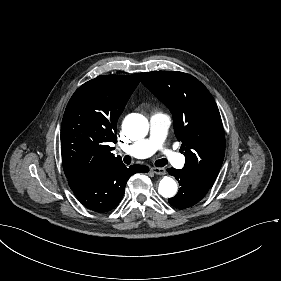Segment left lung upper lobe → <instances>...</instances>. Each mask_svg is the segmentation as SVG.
Segmentation results:
<instances>
[{"label":"left lung upper lobe","mask_w":281,"mask_h":281,"mask_svg":"<svg viewBox=\"0 0 281 281\" xmlns=\"http://www.w3.org/2000/svg\"><path fill=\"white\" fill-rule=\"evenodd\" d=\"M141 82L173 115L175 135L186 157L182 170L211 187L225 154V135L214 98L198 79L182 72L141 73Z\"/></svg>","instance_id":"obj_1"}]
</instances>
